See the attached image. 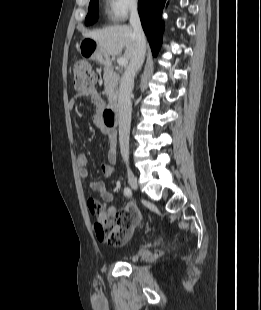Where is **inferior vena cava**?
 Returning <instances> with one entry per match:
<instances>
[{"mask_svg":"<svg viewBox=\"0 0 261 310\" xmlns=\"http://www.w3.org/2000/svg\"><path fill=\"white\" fill-rule=\"evenodd\" d=\"M130 24L136 38V48L129 65L124 72L119 89V143L123 160L128 163L129 159V134L131 125V93L134 86V77L144 63L146 52V38L141 26L137 7L131 9Z\"/></svg>","mask_w":261,"mask_h":310,"instance_id":"inferior-vena-cava-1","label":"inferior vena cava"}]
</instances>
